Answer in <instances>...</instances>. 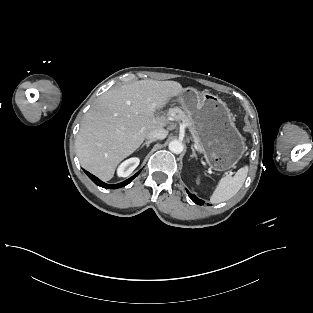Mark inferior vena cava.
<instances>
[{"label": "inferior vena cava", "instance_id": "602c4592", "mask_svg": "<svg viewBox=\"0 0 313 313\" xmlns=\"http://www.w3.org/2000/svg\"><path fill=\"white\" fill-rule=\"evenodd\" d=\"M168 132L165 129H155L149 132L146 136V139L148 140H162L165 139Z\"/></svg>", "mask_w": 313, "mask_h": 313}]
</instances>
